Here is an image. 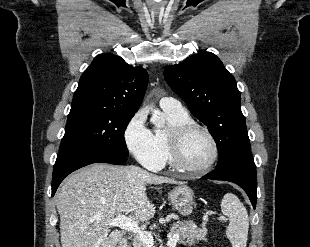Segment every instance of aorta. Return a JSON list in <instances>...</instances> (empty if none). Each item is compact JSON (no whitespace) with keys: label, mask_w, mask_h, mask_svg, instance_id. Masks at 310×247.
<instances>
[{"label":"aorta","mask_w":310,"mask_h":247,"mask_svg":"<svg viewBox=\"0 0 310 247\" xmlns=\"http://www.w3.org/2000/svg\"><path fill=\"white\" fill-rule=\"evenodd\" d=\"M151 110H152L151 122L155 125V127L163 128L165 126L164 115L158 109L152 108Z\"/></svg>","instance_id":"762f6f07"}]
</instances>
